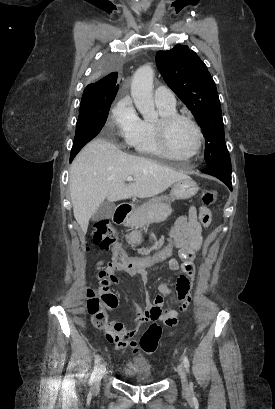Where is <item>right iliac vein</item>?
<instances>
[{"instance_id": "obj_1", "label": "right iliac vein", "mask_w": 275, "mask_h": 409, "mask_svg": "<svg viewBox=\"0 0 275 409\" xmlns=\"http://www.w3.org/2000/svg\"><path fill=\"white\" fill-rule=\"evenodd\" d=\"M105 370H106V363L103 362L99 366L98 373H97V375H96V377L94 379V382H93V385H94L95 388H99V386L101 385V380H102V378L104 376Z\"/></svg>"}]
</instances>
